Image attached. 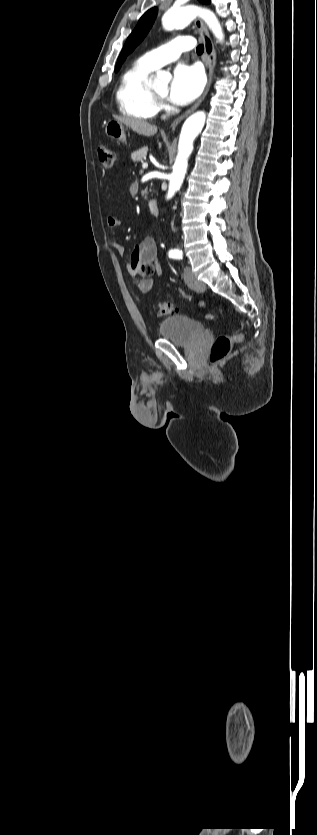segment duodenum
<instances>
[{"mask_svg": "<svg viewBox=\"0 0 317 835\" xmlns=\"http://www.w3.org/2000/svg\"><path fill=\"white\" fill-rule=\"evenodd\" d=\"M148 209H149L151 214H154V215L158 214V203L155 199H151L148 202Z\"/></svg>", "mask_w": 317, "mask_h": 835, "instance_id": "duodenum-1", "label": "duodenum"}]
</instances>
